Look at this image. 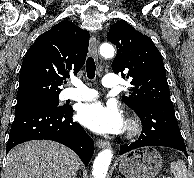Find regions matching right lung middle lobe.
I'll return each mask as SVG.
<instances>
[{"label":"right lung middle lobe","instance_id":"obj_1","mask_svg":"<svg viewBox=\"0 0 194 178\" xmlns=\"http://www.w3.org/2000/svg\"><path fill=\"white\" fill-rule=\"evenodd\" d=\"M59 96L56 97H51V98H44V99H37V100H32L28 102H23V103H17L16 107L23 106V105H31V104H37V105H47L52 108L56 109H62L63 107H59V101H58Z\"/></svg>","mask_w":194,"mask_h":178}]
</instances>
